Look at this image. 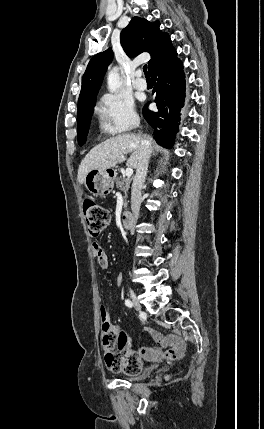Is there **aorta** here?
Listing matches in <instances>:
<instances>
[{"instance_id": "aorta-1", "label": "aorta", "mask_w": 264, "mask_h": 429, "mask_svg": "<svg viewBox=\"0 0 264 429\" xmlns=\"http://www.w3.org/2000/svg\"><path fill=\"white\" fill-rule=\"evenodd\" d=\"M107 84L109 91L112 93L117 92L120 89L122 82L117 68H113L108 73Z\"/></svg>"}]
</instances>
